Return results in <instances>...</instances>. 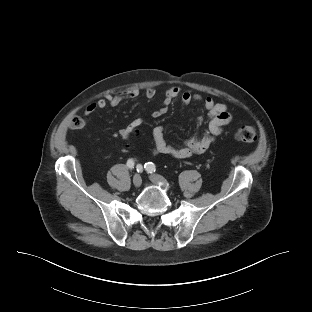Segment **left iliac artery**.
I'll use <instances>...</instances> for the list:
<instances>
[{
	"instance_id": "left-iliac-artery-1",
	"label": "left iliac artery",
	"mask_w": 312,
	"mask_h": 312,
	"mask_svg": "<svg viewBox=\"0 0 312 312\" xmlns=\"http://www.w3.org/2000/svg\"><path fill=\"white\" fill-rule=\"evenodd\" d=\"M144 167H145V169L147 170V172H149V173H153V172L156 171V166H155V164L152 163V162L146 163Z\"/></svg>"
}]
</instances>
